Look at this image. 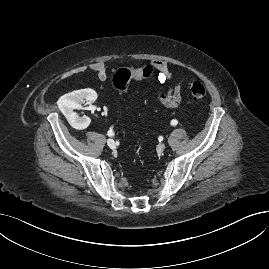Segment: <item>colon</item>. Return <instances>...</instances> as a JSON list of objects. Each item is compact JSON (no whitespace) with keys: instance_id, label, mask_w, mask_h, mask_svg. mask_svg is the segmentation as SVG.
I'll list each match as a JSON object with an SVG mask.
<instances>
[{"instance_id":"1","label":"colon","mask_w":269,"mask_h":269,"mask_svg":"<svg viewBox=\"0 0 269 269\" xmlns=\"http://www.w3.org/2000/svg\"><path fill=\"white\" fill-rule=\"evenodd\" d=\"M154 72L152 66H146L141 71L142 78H148ZM134 74L129 69H119L113 77V85L116 89L122 92H126L130 86L132 79H134ZM192 98L197 101H203L206 97V89L201 82H194L190 87Z\"/></svg>"}]
</instances>
